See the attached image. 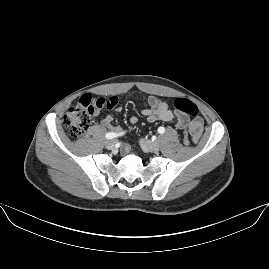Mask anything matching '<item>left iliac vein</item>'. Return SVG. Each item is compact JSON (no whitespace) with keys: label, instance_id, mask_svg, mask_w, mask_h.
Here are the masks:
<instances>
[{"label":"left iliac vein","instance_id":"4c4485c4","mask_svg":"<svg viewBox=\"0 0 269 269\" xmlns=\"http://www.w3.org/2000/svg\"><path fill=\"white\" fill-rule=\"evenodd\" d=\"M140 144L142 147H144L146 145L151 152H157L160 150V145H159L158 141L146 142L144 139H141Z\"/></svg>","mask_w":269,"mask_h":269}]
</instances>
